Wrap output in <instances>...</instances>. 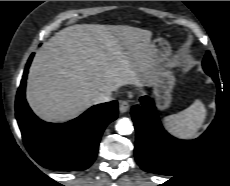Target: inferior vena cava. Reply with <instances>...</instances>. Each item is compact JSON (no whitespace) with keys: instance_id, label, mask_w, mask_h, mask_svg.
Instances as JSON below:
<instances>
[{"instance_id":"1","label":"inferior vena cava","mask_w":230,"mask_h":186,"mask_svg":"<svg viewBox=\"0 0 230 186\" xmlns=\"http://www.w3.org/2000/svg\"><path fill=\"white\" fill-rule=\"evenodd\" d=\"M111 92H103L97 95L94 99L95 103H104L111 101Z\"/></svg>"}]
</instances>
